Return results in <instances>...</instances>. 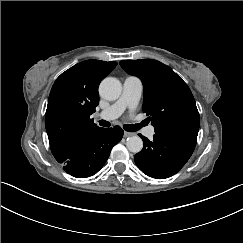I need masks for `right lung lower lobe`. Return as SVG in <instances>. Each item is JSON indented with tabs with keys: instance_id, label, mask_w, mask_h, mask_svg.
<instances>
[{
	"instance_id": "98d812e1",
	"label": "right lung lower lobe",
	"mask_w": 243,
	"mask_h": 243,
	"mask_svg": "<svg viewBox=\"0 0 243 243\" xmlns=\"http://www.w3.org/2000/svg\"><path fill=\"white\" fill-rule=\"evenodd\" d=\"M122 136L123 130L119 126L94 130L64 155L63 169L79 178L94 175L104 166Z\"/></svg>"
}]
</instances>
